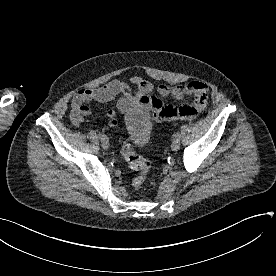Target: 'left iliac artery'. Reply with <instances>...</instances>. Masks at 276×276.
<instances>
[{"instance_id":"left-iliac-artery-1","label":"left iliac artery","mask_w":276,"mask_h":276,"mask_svg":"<svg viewBox=\"0 0 276 276\" xmlns=\"http://www.w3.org/2000/svg\"><path fill=\"white\" fill-rule=\"evenodd\" d=\"M174 139L180 140L181 135L179 133H176L173 135Z\"/></svg>"}]
</instances>
